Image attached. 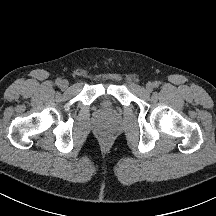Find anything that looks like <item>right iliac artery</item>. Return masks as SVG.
I'll return each instance as SVG.
<instances>
[{"instance_id":"82829eb1","label":"right iliac artery","mask_w":216,"mask_h":216,"mask_svg":"<svg viewBox=\"0 0 216 216\" xmlns=\"http://www.w3.org/2000/svg\"><path fill=\"white\" fill-rule=\"evenodd\" d=\"M61 81H62V80H61L60 78H58V79L56 80V84H57V85H60V84H61Z\"/></svg>"}]
</instances>
